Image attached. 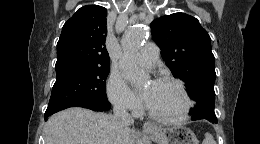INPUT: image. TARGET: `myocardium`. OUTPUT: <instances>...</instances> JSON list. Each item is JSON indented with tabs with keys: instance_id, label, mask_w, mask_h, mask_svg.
<instances>
[{
	"instance_id": "obj_1",
	"label": "myocardium",
	"mask_w": 260,
	"mask_h": 144,
	"mask_svg": "<svg viewBox=\"0 0 260 144\" xmlns=\"http://www.w3.org/2000/svg\"><path fill=\"white\" fill-rule=\"evenodd\" d=\"M155 82L156 83H168V84H173L174 86H176L180 90V92L185 100V107H184V110L181 113V115H179L177 117H166V116H162V115H159V114L153 112L149 108V106L146 104L145 107H146V111H147V114L149 115V117L158 122L167 123V124H176V123L184 122L189 117L190 111L193 106L192 99L189 95V92H188L185 84L181 80L174 78V77H169V76L157 78L155 80Z\"/></svg>"
}]
</instances>
